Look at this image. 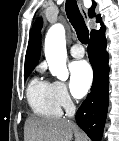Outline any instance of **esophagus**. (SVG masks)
Wrapping results in <instances>:
<instances>
[{
	"instance_id": "34e87169",
	"label": "esophagus",
	"mask_w": 119,
	"mask_h": 141,
	"mask_svg": "<svg viewBox=\"0 0 119 141\" xmlns=\"http://www.w3.org/2000/svg\"><path fill=\"white\" fill-rule=\"evenodd\" d=\"M78 4H79L80 12H81V14L83 15L84 19H85L86 21H89L88 13H87L86 8H85L84 5H83L82 0H79V1H78Z\"/></svg>"
}]
</instances>
